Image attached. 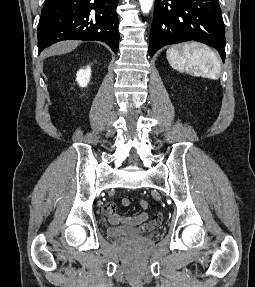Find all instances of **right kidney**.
Listing matches in <instances>:
<instances>
[{"label":"right kidney","instance_id":"ca27d5eb","mask_svg":"<svg viewBox=\"0 0 255 287\" xmlns=\"http://www.w3.org/2000/svg\"><path fill=\"white\" fill-rule=\"evenodd\" d=\"M76 76H77L76 80H77L79 86H81V88H85V86H87V84H89V82H90L91 68H89V66H87V68H85V70H79V72H77Z\"/></svg>","mask_w":255,"mask_h":287}]
</instances>
